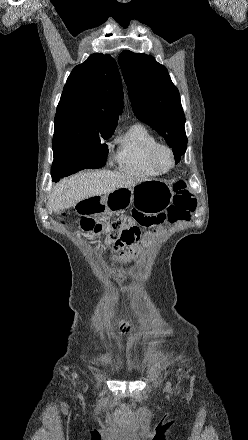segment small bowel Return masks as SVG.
<instances>
[{
	"instance_id": "1",
	"label": "small bowel",
	"mask_w": 248,
	"mask_h": 440,
	"mask_svg": "<svg viewBox=\"0 0 248 440\" xmlns=\"http://www.w3.org/2000/svg\"><path fill=\"white\" fill-rule=\"evenodd\" d=\"M117 329L121 334H128L133 331L135 324L126 322L122 319H116Z\"/></svg>"
}]
</instances>
